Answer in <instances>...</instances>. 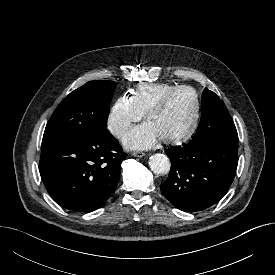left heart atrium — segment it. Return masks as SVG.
Masks as SVG:
<instances>
[{"label":"left heart atrium","mask_w":275,"mask_h":275,"mask_svg":"<svg viewBox=\"0 0 275 275\" xmlns=\"http://www.w3.org/2000/svg\"><path fill=\"white\" fill-rule=\"evenodd\" d=\"M160 140L153 126L146 122L131 129L123 138V144L127 149L144 150L154 147Z\"/></svg>","instance_id":"left-heart-atrium-1"}]
</instances>
